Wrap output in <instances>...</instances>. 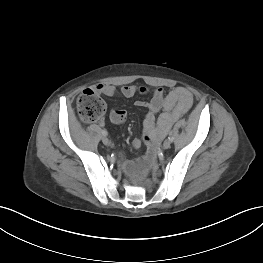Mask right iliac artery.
<instances>
[{
	"instance_id": "right-iliac-artery-1",
	"label": "right iliac artery",
	"mask_w": 263,
	"mask_h": 263,
	"mask_svg": "<svg viewBox=\"0 0 263 263\" xmlns=\"http://www.w3.org/2000/svg\"><path fill=\"white\" fill-rule=\"evenodd\" d=\"M102 134L104 135V136H107V131L106 130H102Z\"/></svg>"
}]
</instances>
